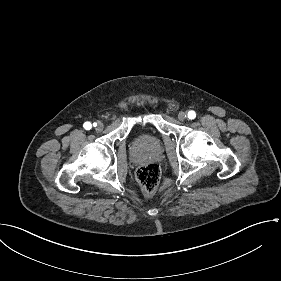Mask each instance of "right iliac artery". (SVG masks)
<instances>
[{
	"instance_id": "right-iliac-artery-1",
	"label": "right iliac artery",
	"mask_w": 281,
	"mask_h": 281,
	"mask_svg": "<svg viewBox=\"0 0 281 281\" xmlns=\"http://www.w3.org/2000/svg\"><path fill=\"white\" fill-rule=\"evenodd\" d=\"M94 125L96 126V124H95V123H94ZM91 127H92V125H91V123H90V122H85V123H84V128H85L86 130L91 129Z\"/></svg>"
}]
</instances>
